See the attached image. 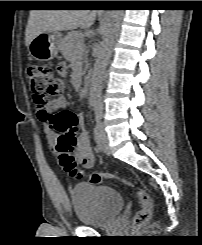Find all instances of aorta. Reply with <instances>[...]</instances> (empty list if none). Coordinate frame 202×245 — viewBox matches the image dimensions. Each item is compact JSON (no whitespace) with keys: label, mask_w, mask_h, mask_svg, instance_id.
Returning <instances> with one entry per match:
<instances>
[{"label":"aorta","mask_w":202,"mask_h":245,"mask_svg":"<svg viewBox=\"0 0 202 245\" xmlns=\"http://www.w3.org/2000/svg\"><path fill=\"white\" fill-rule=\"evenodd\" d=\"M122 18L123 10H111L106 21L103 40L91 76L90 99L93 102L100 99L105 69L111 57Z\"/></svg>","instance_id":"1"}]
</instances>
